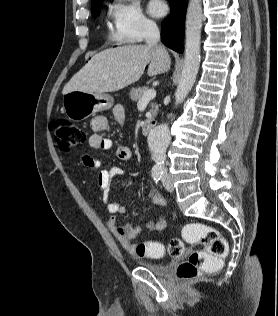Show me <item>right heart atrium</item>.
Wrapping results in <instances>:
<instances>
[{
	"label": "right heart atrium",
	"instance_id": "d8ad5b80",
	"mask_svg": "<svg viewBox=\"0 0 278 316\" xmlns=\"http://www.w3.org/2000/svg\"><path fill=\"white\" fill-rule=\"evenodd\" d=\"M108 17L111 36L120 43L140 42L157 29L156 22L147 17L136 3L128 0H113Z\"/></svg>",
	"mask_w": 278,
	"mask_h": 316
}]
</instances>
